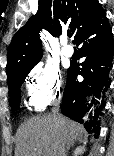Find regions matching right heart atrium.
Masks as SVG:
<instances>
[{"mask_svg": "<svg viewBox=\"0 0 114 156\" xmlns=\"http://www.w3.org/2000/svg\"><path fill=\"white\" fill-rule=\"evenodd\" d=\"M26 92L29 105L36 111L44 110L58 100L62 93L61 77L52 66L38 64L26 78Z\"/></svg>", "mask_w": 114, "mask_h": 156, "instance_id": "right-heart-atrium-1", "label": "right heart atrium"}]
</instances>
